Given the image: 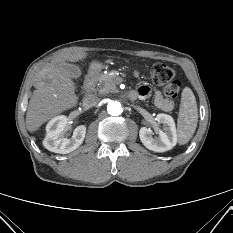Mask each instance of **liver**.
Here are the masks:
<instances>
[{
  "label": "liver",
  "mask_w": 233,
  "mask_h": 233,
  "mask_svg": "<svg viewBox=\"0 0 233 233\" xmlns=\"http://www.w3.org/2000/svg\"><path fill=\"white\" fill-rule=\"evenodd\" d=\"M87 53L78 51L65 53L47 63L34 76L35 88L26 113V126L30 132L36 131L52 117L73 108L78 97L75 84L62 67L69 62L86 58Z\"/></svg>",
  "instance_id": "6515ba94"
}]
</instances>
